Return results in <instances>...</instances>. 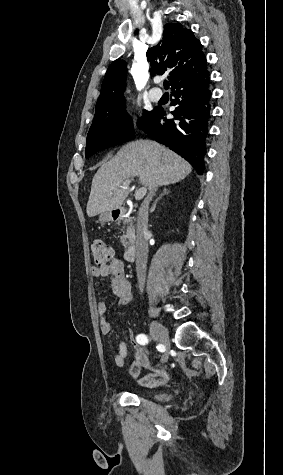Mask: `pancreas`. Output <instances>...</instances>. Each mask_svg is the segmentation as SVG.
<instances>
[{
	"label": "pancreas",
	"mask_w": 283,
	"mask_h": 475,
	"mask_svg": "<svg viewBox=\"0 0 283 475\" xmlns=\"http://www.w3.org/2000/svg\"><path fill=\"white\" fill-rule=\"evenodd\" d=\"M135 239V232L132 228H126V236H121V243H123L125 249L128 245H131V241Z\"/></svg>",
	"instance_id": "obj_1"
}]
</instances>
